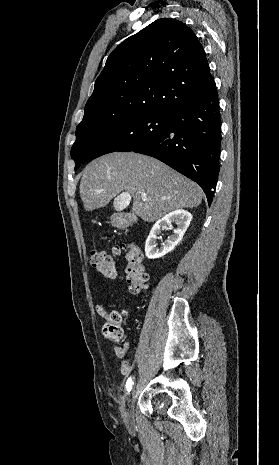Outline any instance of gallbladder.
<instances>
[{
  "instance_id": "bac80fb5",
  "label": "gallbladder",
  "mask_w": 279,
  "mask_h": 465,
  "mask_svg": "<svg viewBox=\"0 0 279 465\" xmlns=\"http://www.w3.org/2000/svg\"><path fill=\"white\" fill-rule=\"evenodd\" d=\"M127 206V204L123 201V199H119L117 201V210H122Z\"/></svg>"
}]
</instances>
